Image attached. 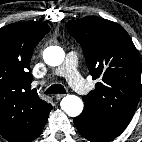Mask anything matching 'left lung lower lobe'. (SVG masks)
I'll use <instances>...</instances> for the list:
<instances>
[{
    "mask_svg": "<svg viewBox=\"0 0 142 142\" xmlns=\"http://www.w3.org/2000/svg\"><path fill=\"white\" fill-rule=\"evenodd\" d=\"M79 133L91 142H109L119 136L124 129L115 127L92 109L84 107L83 112L74 118Z\"/></svg>",
    "mask_w": 142,
    "mask_h": 142,
    "instance_id": "obj_1",
    "label": "left lung lower lobe"
}]
</instances>
